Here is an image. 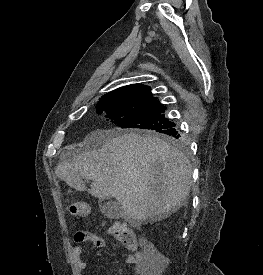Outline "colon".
<instances>
[{"instance_id": "colon-1", "label": "colon", "mask_w": 263, "mask_h": 275, "mask_svg": "<svg viewBox=\"0 0 263 275\" xmlns=\"http://www.w3.org/2000/svg\"><path fill=\"white\" fill-rule=\"evenodd\" d=\"M70 212L76 219H84L88 216V208L82 203L71 205ZM108 232L134 254V257L141 265V275H157L159 273L163 261L159 257L146 256L139 250L135 234L129 226L116 222L108 228Z\"/></svg>"}]
</instances>
